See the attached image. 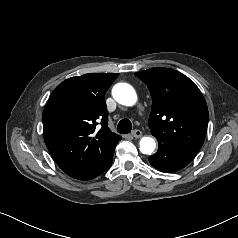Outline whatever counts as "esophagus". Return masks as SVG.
Segmentation results:
<instances>
[{
  "instance_id": "1",
  "label": "esophagus",
  "mask_w": 238,
  "mask_h": 238,
  "mask_svg": "<svg viewBox=\"0 0 238 238\" xmlns=\"http://www.w3.org/2000/svg\"><path fill=\"white\" fill-rule=\"evenodd\" d=\"M132 136L134 138H140L142 136V132L140 130L136 129V130L132 131Z\"/></svg>"
}]
</instances>
